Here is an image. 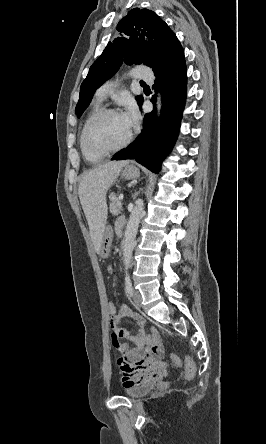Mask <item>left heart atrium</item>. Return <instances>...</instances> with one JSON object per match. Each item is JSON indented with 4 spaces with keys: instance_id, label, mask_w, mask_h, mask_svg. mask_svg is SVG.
Wrapping results in <instances>:
<instances>
[{
    "instance_id": "39dd6f15",
    "label": "left heart atrium",
    "mask_w": 266,
    "mask_h": 444,
    "mask_svg": "<svg viewBox=\"0 0 266 444\" xmlns=\"http://www.w3.org/2000/svg\"><path fill=\"white\" fill-rule=\"evenodd\" d=\"M122 116L130 127L136 125L138 122V111L132 104L127 107L126 112Z\"/></svg>"
}]
</instances>
